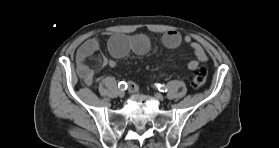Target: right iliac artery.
I'll use <instances>...</instances> for the list:
<instances>
[{
	"instance_id": "obj_1",
	"label": "right iliac artery",
	"mask_w": 279,
	"mask_h": 148,
	"mask_svg": "<svg viewBox=\"0 0 279 148\" xmlns=\"http://www.w3.org/2000/svg\"><path fill=\"white\" fill-rule=\"evenodd\" d=\"M118 87L122 90H126L127 89V83L124 81L119 82Z\"/></svg>"
}]
</instances>
